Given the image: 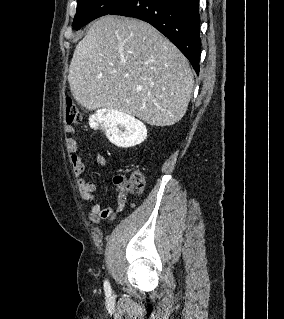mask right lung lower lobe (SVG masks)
Listing matches in <instances>:
<instances>
[{
	"label": "right lung lower lobe",
	"instance_id": "98d812e1",
	"mask_svg": "<svg viewBox=\"0 0 284 319\" xmlns=\"http://www.w3.org/2000/svg\"><path fill=\"white\" fill-rule=\"evenodd\" d=\"M110 14L150 23L179 48L199 74L201 39L198 0H130Z\"/></svg>",
	"mask_w": 284,
	"mask_h": 319
}]
</instances>
